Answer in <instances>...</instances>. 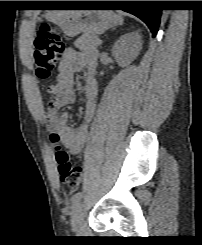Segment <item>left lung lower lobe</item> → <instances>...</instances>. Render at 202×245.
<instances>
[{
	"mask_svg": "<svg viewBox=\"0 0 202 245\" xmlns=\"http://www.w3.org/2000/svg\"><path fill=\"white\" fill-rule=\"evenodd\" d=\"M86 6H117L121 10L131 13L140 18L149 27L152 36L155 37L159 28L161 10L147 8L146 1H85Z\"/></svg>",
	"mask_w": 202,
	"mask_h": 245,
	"instance_id": "0a47b994",
	"label": "left lung lower lobe"
}]
</instances>
